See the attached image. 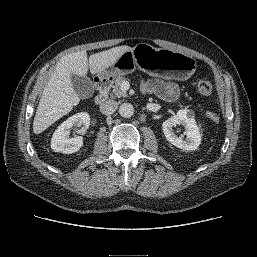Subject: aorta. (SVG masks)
Segmentation results:
<instances>
[{"instance_id":"1","label":"aorta","mask_w":257,"mask_h":257,"mask_svg":"<svg viewBox=\"0 0 257 257\" xmlns=\"http://www.w3.org/2000/svg\"><path fill=\"white\" fill-rule=\"evenodd\" d=\"M119 114L123 118H129V117L133 116V114H134V107L130 103H123L119 107Z\"/></svg>"}]
</instances>
